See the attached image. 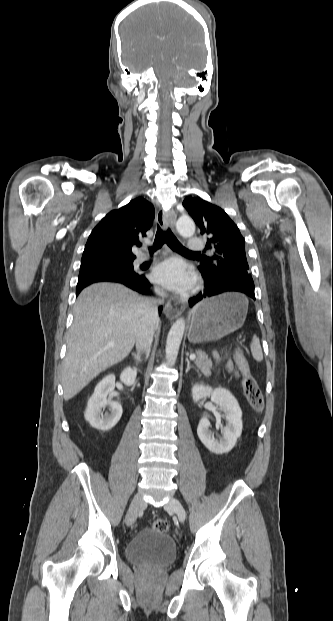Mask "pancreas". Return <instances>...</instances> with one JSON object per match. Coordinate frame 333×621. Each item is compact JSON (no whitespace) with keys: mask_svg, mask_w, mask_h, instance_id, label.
<instances>
[{"mask_svg":"<svg viewBox=\"0 0 333 621\" xmlns=\"http://www.w3.org/2000/svg\"><path fill=\"white\" fill-rule=\"evenodd\" d=\"M195 354L197 356L195 359L196 366L204 375L209 376L211 373L210 370L212 368V362L208 358V355L202 350H196Z\"/></svg>","mask_w":333,"mask_h":621,"instance_id":"pancreas-1","label":"pancreas"}]
</instances>
